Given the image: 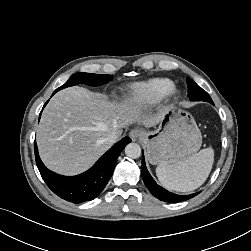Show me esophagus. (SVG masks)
<instances>
[{"instance_id": "obj_1", "label": "esophagus", "mask_w": 251, "mask_h": 251, "mask_svg": "<svg viewBox=\"0 0 251 251\" xmlns=\"http://www.w3.org/2000/svg\"><path fill=\"white\" fill-rule=\"evenodd\" d=\"M143 136V131L141 129H133L130 132V137L133 141L140 139Z\"/></svg>"}]
</instances>
